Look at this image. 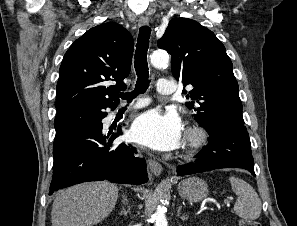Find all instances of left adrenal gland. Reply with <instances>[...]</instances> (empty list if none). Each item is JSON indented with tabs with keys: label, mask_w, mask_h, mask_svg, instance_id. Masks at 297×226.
Segmentation results:
<instances>
[{
	"label": "left adrenal gland",
	"mask_w": 297,
	"mask_h": 226,
	"mask_svg": "<svg viewBox=\"0 0 297 226\" xmlns=\"http://www.w3.org/2000/svg\"><path fill=\"white\" fill-rule=\"evenodd\" d=\"M180 211H181V207H179V209H178V212H177V215H178V216H180ZM180 218H181L183 221H186V220L188 219V216L183 215V216H181Z\"/></svg>",
	"instance_id": "obj_1"
}]
</instances>
